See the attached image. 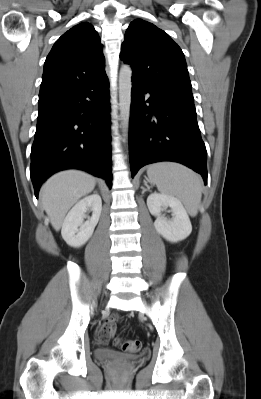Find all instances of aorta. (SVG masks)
Segmentation results:
<instances>
[{"label": "aorta", "instance_id": "1", "mask_svg": "<svg viewBox=\"0 0 261 399\" xmlns=\"http://www.w3.org/2000/svg\"><path fill=\"white\" fill-rule=\"evenodd\" d=\"M132 70L129 65H122L119 73V107L121 128L124 135H127L130 119Z\"/></svg>", "mask_w": 261, "mask_h": 399}]
</instances>
